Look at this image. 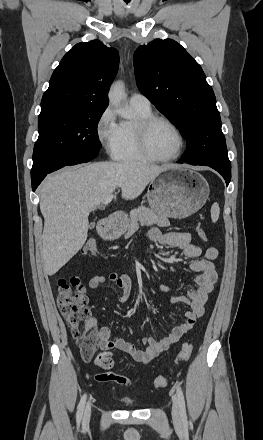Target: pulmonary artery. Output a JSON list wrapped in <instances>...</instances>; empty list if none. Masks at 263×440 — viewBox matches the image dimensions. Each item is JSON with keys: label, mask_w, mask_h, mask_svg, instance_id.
<instances>
[{"label": "pulmonary artery", "mask_w": 263, "mask_h": 440, "mask_svg": "<svg viewBox=\"0 0 263 440\" xmlns=\"http://www.w3.org/2000/svg\"><path fill=\"white\" fill-rule=\"evenodd\" d=\"M129 104L137 109H150L149 99L141 93H133L129 98Z\"/></svg>", "instance_id": "obj_1"}]
</instances>
